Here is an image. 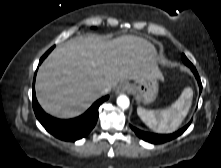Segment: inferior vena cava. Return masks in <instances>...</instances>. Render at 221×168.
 <instances>
[{
	"instance_id": "inferior-vena-cava-1",
	"label": "inferior vena cava",
	"mask_w": 221,
	"mask_h": 168,
	"mask_svg": "<svg viewBox=\"0 0 221 168\" xmlns=\"http://www.w3.org/2000/svg\"><path fill=\"white\" fill-rule=\"evenodd\" d=\"M111 88L110 87H105L102 89L101 93L103 94H107L108 92H110Z\"/></svg>"
}]
</instances>
